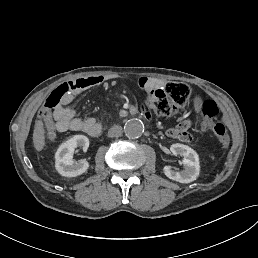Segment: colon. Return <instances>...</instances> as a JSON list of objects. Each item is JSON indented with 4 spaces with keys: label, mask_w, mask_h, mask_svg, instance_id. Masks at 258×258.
<instances>
[{
    "label": "colon",
    "mask_w": 258,
    "mask_h": 258,
    "mask_svg": "<svg viewBox=\"0 0 258 258\" xmlns=\"http://www.w3.org/2000/svg\"><path fill=\"white\" fill-rule=\"evenodd\" d=\"M75 85L72 82H64L56 87L48 96L44 108L41 111L43 119L49 118L60 106L65 104L72 96ZM190 88L181 82H168L162 88L152 90L147 98L149 107L160 117L174 114L183 107L189 100ZM201 116L200 130H211L218 138L221 146L227 148L230 144V137L225 125L221 122H214L218 114V107L213 100H205L200 107Z\"/></svg>",
    "instance_id": "obj_1"
}]
</instances>
